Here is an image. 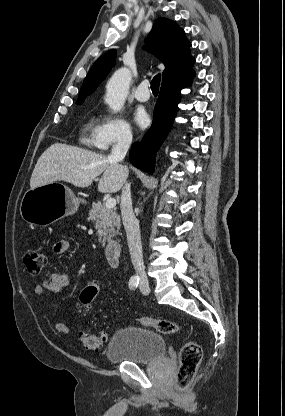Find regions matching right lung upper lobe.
I'll use <instances>...</instances> for the list:
<instances>
[{"mask_svg": "<svg viewBox=\"0 0 285 416\" xmlns=\"http://www.w3.org/2000/svg\"><path fill=\"white\" fill-rule=\"evenodd\" d=\"M145 42V48L165 65L162 84L193 71L195 59L190 54L191 44L174 21L157 18ZM115 58L116 51L112 49L96 60L83 82L76 104H81L86 96L95 91L114 66Z\"/></svg>", "mask_w": 285, "mask_h": 416, "instance_id": "right-lung-upper-lobe-1", "label": "right lung upper lobe"}]
</instances>
